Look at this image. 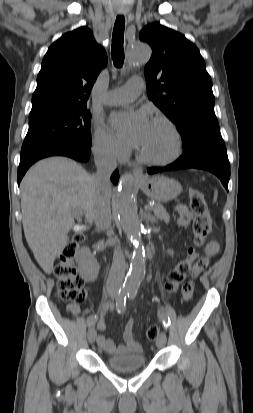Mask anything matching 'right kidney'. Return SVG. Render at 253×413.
I'll list each match as a JSON object with an SVG mask.
<instances>
[{"label": "right kidney", "instance_id": "obj_1", "mask_svg": "<svg viewBox=\"0 0 253 413\" xmlns=\"http://www.w3.org/2000/svg\"><path fill=\"white\" fill-rule=\"evenodd\" d=\"M79 272L86 281H94L99 273V264L88 248H82L77 256Z\"/></svg>", "mask_w": 253, "mask_h": 413}]
</instances>
